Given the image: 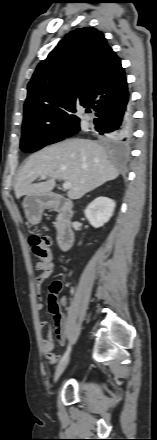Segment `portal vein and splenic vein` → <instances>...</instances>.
<instances>
[{
	"instance_id": "18ae733b",
	"label": "portal vein and splenic vein",
	"mask_w": 157,
	"mask_h": 440,
	"mask_svg": "<svg viewBox=\"0 0 157 440\" xmlns=\"http://www.w3.org/2000/svg\"><path fill=\"white\" fill-rule=\"evenodd\" d=\"M41 178L45 179L46 177L42 176ZM71 187H72V184L70 182L66 181V182L63 183V189L64 190L70 189Z\"/></svg>"
}]
</instances>
